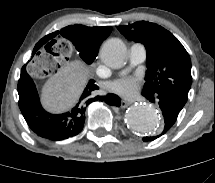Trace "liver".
<instances>
[{
    "instance_id": "obj_1",
    "label": "liver",
    "mask_w": 215,
    "mask_h": 183,
    "mask_svg": "<svg viewBox=\"0 0 215 183\" xmlns=\"http://www.w3.org/2000/svg\"><path fill=\"white\" fill-rule=\"evenodd\" d=\"M88 74L87 66L80 60L62 66L42 88L43 106L54 113L72 108L87 84Z\"/></svg>"
}]
</instances>
